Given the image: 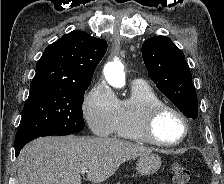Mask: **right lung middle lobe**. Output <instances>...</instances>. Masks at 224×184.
Returning a JSON list of instances; mask_svg holds the SVG:
<instances>
[{
	"label": "right lung middle lobe",
	"instance_id": "1",
	"mask_svg": "<svg viewBox=\"0 0 224 184\" xmlns=\"http://www.w3.org/2000/svg\"><path fill=\"white\" fill-rule=\"evenodd\" d=\"M88 86L30 88L15 145L40 134L80 132L84 128L82 104Z\"/></svg>",
	"mask_w": 224,
	"mask_h": 184
}]
</instances>
